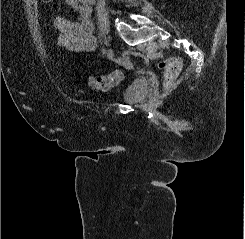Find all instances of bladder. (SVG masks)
<instances>
[{
    "label": "bladder",
    "mask_w": 245,
    "mask_h": 239,
    "mask_svg": "<svg viewBox=\"0 0 245 239\" xmlns=\"http://www.w3.org/2000/svg\"><path fill=\"white\" fill-rule=\"evenodd\" d=\"M150 84L133 82L123 89L121 99L127 104H138L146 99Z\"/></svg>",
    "instance_id": "1"
}]
</instances>
